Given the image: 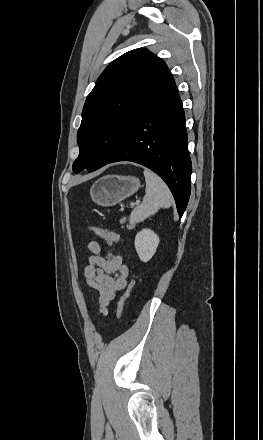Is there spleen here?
<instances>
[{
  "label": "spleen",
  "instance_id": "obj_1",
  "mask_svg": "<svg viewBox=\"0 0 263 440\" xmlns=\"http://www.w3.org/2000/svg\"><path fill=\"white\" fill-rule=\"evenodd\" d=\"M146 194L143 202L131 212L130 220L139 223L154 215L160 208H169L173 197L165 182L152 171L145 169Z\"/></svg>",
  "mask_w": 263,
  "mask_h": 440
}]
</instances>
